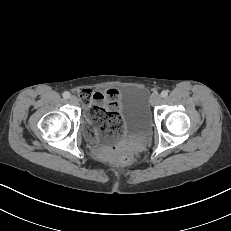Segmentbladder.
Returning a JSON list of instances; mask_svg holds the SVG:
<instances>
[{
  "instance_id": "bladder-1",
  "label": "bladder",
  "mask_w": 231,
  "mask_h": 231,
  "mask_svg": "<svg viewBox=\"0 0 231 231\" xmlns=\"http://www.w3.org/2000/svg\"><path fill=\"white\" fill-rule=\"evenodd\" d=\"M117 105L124 117L123 136L126 139L142 138L152 128L150 95L144 87L128 85L117 96Z\"/></svg>"
}]
</instances>
